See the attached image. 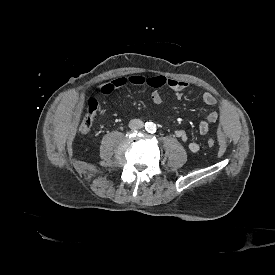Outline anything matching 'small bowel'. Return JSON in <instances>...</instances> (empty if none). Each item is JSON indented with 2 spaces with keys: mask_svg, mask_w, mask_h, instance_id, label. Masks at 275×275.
<instances>
[{
  "mask_svg": "<svg viewBox=\"0 0 275 275\" xmlns=\"http://www.w3.org/2000/svg\"><path fill=\"white\" fill-rule=\"evenodd\" d=\"M127 84H131L134 86L147 84L155 88V90L151 93V100L156 106H159L162 103V96L156 88L166 85L172 88L175 92L176 98L180 99L182 97L183 91L188 87V83L183 80L166 78L160 75L145 79L143 76L135 74L129 77H119L105 82L100 85L99 91L100 93L107 95ZM202 101L209 107H214L216 105L215 96L209 92H205L202 94ZM217 119L218 112L216 110L208 113V115L199 123L198 132L201 135H206L210 130V126L215 123ZM176 136L183 142L188 143V148L191 152H197L199 150L198 143L194 141H189L188 135L185 131L177 130Z\"/></svg>",
  "mask_w": 275,
  "mask_h": 275,
  "instance_id": "obj_1",
  "label": "small bowel"
}]
</instances>
